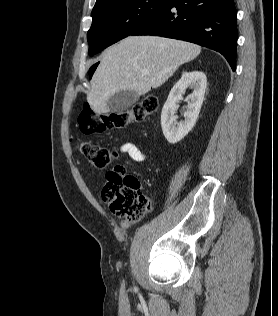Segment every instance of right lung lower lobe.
Returning a JSON list of instances; mask_svg holds the SVG:
<instances>
[{"instance_id": "1", "label": "right lung lower lobe", "mask_w": 278, "mask_h": 316, "mask_svg": "<svg viewBox=\"0 0 278 316\" xmlns=\"http://www.w3.org/2000/svg\"><path fill=\"white\" fill-rule=\"evenodd\" d=\"M234 0H165L132 35L185 40L221 53L236 66L237 24Z\"/></svg>"}]
</instances>
